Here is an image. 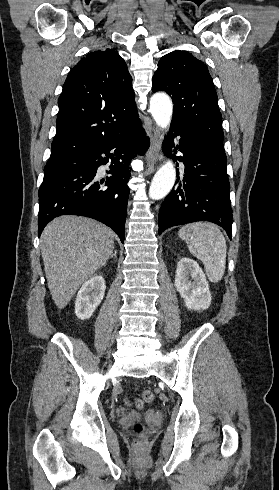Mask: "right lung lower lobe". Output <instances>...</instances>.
Segmentation results:
<instances>
[{"label":"right lung lower lobe","instance_id":"right-lung-lower-lobe-1","mask_svg":"<svg viewBox=\"0 0 279 490\" xmlns=\"http://www.w3.org/2000/svg\"><path fill=\"white\" fill-rule=\"evenodd\" d=\"M148 147L149 138L138 125L44 179L38 192V235L55 217L74 214L101 221L111 227L123 243L129 162L134 158V152L144 153ZM109 160L114 164L110 166L112 176L99 181L97 168Z\"/></svg>","mask_w":279,"mask_h":490}]
</instances>
